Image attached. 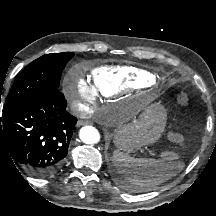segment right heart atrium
Wrapping results in <instances>:
<instances>
[{"mask_svg": "<svg viewBox=\"0 0 216 216\" xmlns=\"http://www.w3.org/2000/svg\"><path fill=\"white\" fill-rule=\"evenodd\" d=\"M63 88L67 98L78 112L87 113L95 107L97 93L84 78L69 74L63 82Z\"/></svg>", "mask_w": 216, "mask_h": 216, "instance_id": "obj_1", "label": "right heart atrium"}]
</instances>
